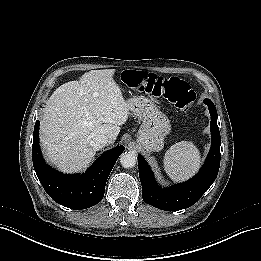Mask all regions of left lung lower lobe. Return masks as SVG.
I'll return each instance as SVG.
<instances>
[{"instance_id": "0a47b994", "label": "left lung lower lobe", "mask_w": 261, "mask_h": 261, "mask_svg": "<svg viewBox=\"0 0 261 261\" xmlns=\"http://www.w3.org/2000/svg\"><path fill=\"white\" fill-rule=\"evenodd\" d=\"M211 115L212 143L208 157L199 173L191 180L170 188L157 185L144 157L138 155L139 178L143 200L165 211H177L195 204L214 182L220 166L221 137L217 125V111L211 100L205 99Z\"/></svg>"}]
</instances>
